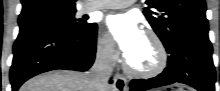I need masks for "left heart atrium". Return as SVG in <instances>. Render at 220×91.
<instances>
[{
    "label": "left heart atrium",
    "instance_id": "1",
    "mask_svg": "<svg viewBox=\"0 0 220 91\" xmlns=\"http://www.w3.org/2000/svg\"><path fill=\"white\" fill-rule=\"evenodd\" d=\"M105 25L125 57L133 51L144 35L137 20L129 14L109 15Z\"/></svg>",
    "mask_w": 220,
    "mask_h": 91
}]
</instances>
